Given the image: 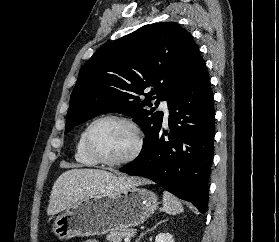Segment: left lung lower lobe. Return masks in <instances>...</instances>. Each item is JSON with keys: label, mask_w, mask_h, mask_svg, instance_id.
I'll return each instance as SVG.
<instances>
[{"label": "left lung lower lobe", "mask_w": 279, "mask_h": 242, "mask_svg": "<svg viewBox=\"0 0 279 242\" xmlns=\"http://www.w3.org/2000/svg\"><path fill=\"white\" fill-rule=\"evenodd\" d=\"M169 110L170 132L160 129L149 150L119 171L149 178L206 213L215 110L210 79L200 53Z\"/></svg>", "instance_id": "obj_1"}]
</instances>
